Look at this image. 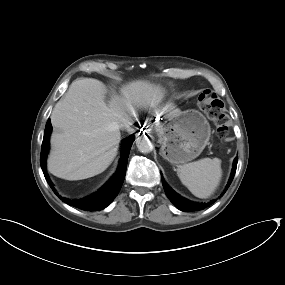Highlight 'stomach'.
Returning a JSON list of instances; mask_svg holds the SVG:
<instances>
[{
    "label": "stomach",
    "mask_w": 285,
    "mask_h": 285,
    "mask_svg": "<svg viewBox=\"0 0 285 285\" xmlns=\"http://www.w3.org/2000/svg\"><path fill=\"white\" fill-rule=\"evenodd\" d=\"M157 132L161 156L175 165L187 163L199 156L211 135L208 121L196 110L165 117Z\"/></svg>",
    "instance_id": "0dacf381"
}]
</instances>
